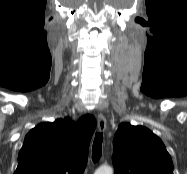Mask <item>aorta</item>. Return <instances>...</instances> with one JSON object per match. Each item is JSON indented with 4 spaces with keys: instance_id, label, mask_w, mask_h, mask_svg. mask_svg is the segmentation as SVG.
Instances as JSON below:
<instances>
[{
    "instance_id": "1",
    "label": "aorta",
    "mask_w": 187,
    "mask_h": 174,
    "mask_svg": "<svg viewBox=\"0 0 187 174\" xmlns=\"http://www.w3.org/2000/svg\"><path fill=\"white\" fill-rule=\"evenodd\" d=\"M94 174H113V169L110 166H102Z\"/></svg>"
}]
</instances>
